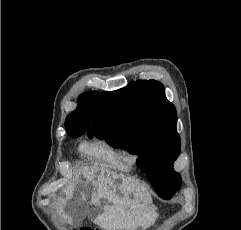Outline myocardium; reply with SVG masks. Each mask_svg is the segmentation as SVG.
I'll list each match as a JSON object with an SVG mask.
<instances>
[{"label": "myocardium", "instance_id": "myocardium-1", "mask_svg": "<svg viewBox=\"0 0 241 230\" xmlns=\"http://www.w3.org/2000/svg\"><path fill=\"white\" fill-rule=\"evenodd\" d=\"M141 158L140 151L135 147H127L124 150V159L128 163V165L133 166L136 165Z\"/></svg>", "mask_w": 241, "mask_h": 230}]
</instances>
